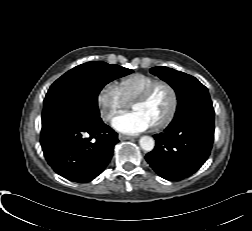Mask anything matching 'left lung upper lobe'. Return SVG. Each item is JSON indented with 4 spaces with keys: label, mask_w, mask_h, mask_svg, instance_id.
<instances>
[{
    "label": "left lung upper lobe",
    "mask_w": 252,
    "mask_h": 231,
    "mask_svg": "<svg viewBox=\"0 0 252 231\" xmlns=\"http://www.w3.org/2000/svg\"><path fill=\"white\" fill-rule=\"evenodd\" d=\"M150 72L174 88L178 97L176 113L192 105L212 104L207 88L195 77L168 67H153Z\"/></svg>",
    "instance_id": "obj_1"
}]
</instances>
